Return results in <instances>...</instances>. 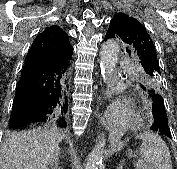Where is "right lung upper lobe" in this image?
<instances>
[{
    "label": "right lung upper lobe",
    "mask_w": 177,
    "mask_h": 169,
    "mask_svg": "<svg viewBox=\"0 0 177 169\" xmlns=\"http://www.w3.org/2000/svg\"><path fill=\"white\" fill-rule=\"evenodd\" d=\"M72 53L67 33L58 26H50L35 38L27 57L68 63Z\"/></svg>",
    "instance_id": "right-lung-upper-lobe-1"
}]
</instances>
